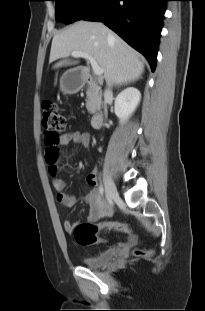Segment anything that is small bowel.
<instances>
[{"label": "small bowel", "mask_w": 205, "mask_h": 311, "mask_svg": "<svg viewBox=\"0 0 205 311\" xmlns=\"http://www.w3.org/2000/svg\"><path fill=\"white\" fill-rule=\"evenodd\" d=\"M91 142V136L85 132L74 131L63 136L59 145L65 146L70 143L81 144L84 147H88ZM50 173L55 177L53 181L54 189L57 193V200L66 207H73L76 204V198L66 192V184L63 180L56 177L58 166H49ZM87 183L93 186V189L86 196L85 200L89 205L88 221H97L107 213L105 202L100 198L98 190L95 188L97 185L96 172L92 170L86 177ZM77 223L71 221H65L63 226L64 230L68 233H72Z\"/></svg>", "instance_id": "1"}]
</instances>
